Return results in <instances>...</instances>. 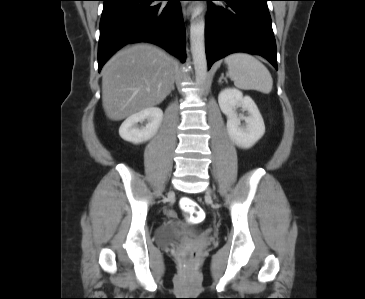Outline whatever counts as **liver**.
<instances>
[{
  "label": "liver",
  "instance_id": "obj_1",
  "mask_svg": "<svg viewBox=\"0 0 365 299\" xmlns=\"http://www.w3.org/2000/svg\"><path fill=\"white\" fill-rule=\"evenodd\" d=\"M176 61L151 44L125 47L103 68L102 105L114 121L160 104L171 92Z\"/></svg>",
  "mask_w": 365,
  "mask_h": 299
}]
</instances>
